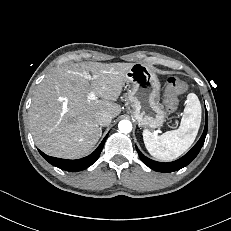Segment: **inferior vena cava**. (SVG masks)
Here are the masks:
<instances>
[{
  "mask_svg": "<svg viewBox=\"0 0 231 231\" xmlns=\"http://www.w3.org/2000/svg\"><path fill=\"white\" fill-rule=\"evenodd\" d=\"M95 117H96V121L100 126L108 125L112 120L111 114L106 110H101L96 112Z\"/></svg>",
  "mask_w": 231,
  "mask_h": 231,
  "instance_id": "602c4592",
  "label": "inferior vena cava"
}]
</instances>
